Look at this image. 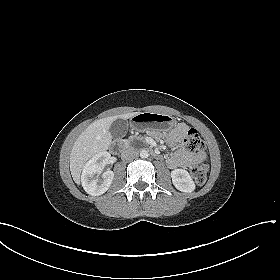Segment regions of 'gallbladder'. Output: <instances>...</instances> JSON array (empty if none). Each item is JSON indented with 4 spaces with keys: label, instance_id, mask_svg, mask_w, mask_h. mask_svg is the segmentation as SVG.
Instances as JSON below:
<instances>
[{
    "label": "gallbladder",
    "instance_id": "gallbladder-1",
    "mask_svg": "<svg viewBox=\"0 0 280 280\" xmlns=\"http://www.w3.org/2000/svg\"><path fill=\"white\" fill-rule=\"evenodd\" d=\"M128 126L127 120L118 118L111 124L109 132L113 138H122L127 133Z\"/></svg>",
    "mask_w": 280,
    "mask_h": 280
}]
</instances>
